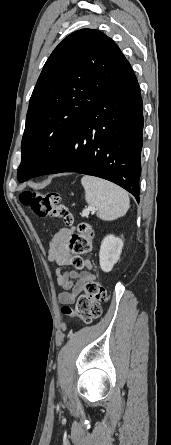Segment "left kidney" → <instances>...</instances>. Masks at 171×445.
<instances>
[{
  "label": "left kidney",
  "instance_id": "obj_1",
  "mask_svg": "<svg viewBox=\"0 0 171 445\" xmlns=\"http://www.w3.org/2000/svg\"><path fill=\"white\" fill-rule=\"evenodd\" d=\"M122 247V239L112 234L103 239L99 252V262L104 272H110L113 269V266L120 259Z\"/></svg>",
  "mask_w": 171,
  "mask_h": 445
}]
</instances>
